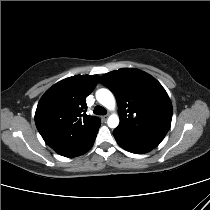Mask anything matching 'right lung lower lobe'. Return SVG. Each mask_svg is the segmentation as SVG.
I'll use <instances>...</instances> for the list:
<instances>
[{
  "instance_id": "right-lung-lower-lobe-1",
  "label": "right lung lower lobe",
  "mask_w": 210,
  "mask_h": 210,
  "mask_svg": "<svg viewBox=\"0 0 210 210\" xmlns=\"http://www.w3.org/2000/svg\"><path fill=\"white\" fill-rule=\"evenodd\" d=\"M95 141V140H94ZM93 142H91L88 146H86L85 148H83L81 151H79L77 154H75L73 157H76V156H79V155H82L84 153H86L93 145Z\"/></svg>"
}]
</instances>
